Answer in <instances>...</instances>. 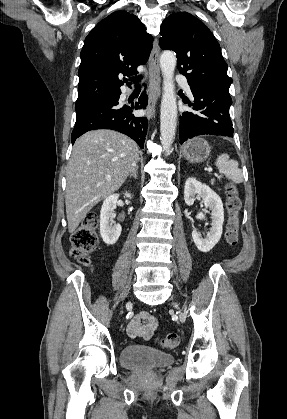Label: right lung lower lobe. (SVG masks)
Segmentation results:
<instances>
[{
    "instance_id": "98d812e1",
    "label": "right lung lower lobe",
    "mask_w": 287,
    "mask_h": 419,
    "mask_svg": "<svg viewBox=\"0 0 287 419\" xmlns=\"http://www.w3.org/2000/svg\"><path fill=\"white\" fill-rule=\"evenodd\" d=\"M119 96L113 101L94 108L82 116L76 118L75 127L71 135L72 143L87 131L95 129H111L119 131L144 148L148 122L146 117H136L133 110L146 108L148 99L143 92L135 105L122 106L118 102Z\"/></svg>"
}]
</instances>
